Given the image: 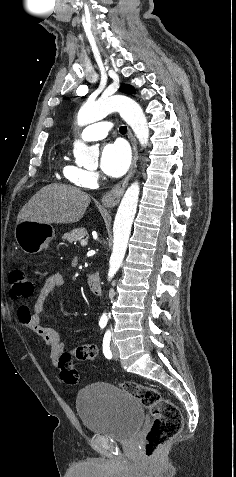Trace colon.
Returning <instances> with one entry per match:
<instances>
[{"mask_svg":"<svg viewBox=\"0 0 236 477\" xmlns=\"http://www.w3.org/2000/svg\"><path fill=\"white\" fill-rule=\"evenodd\" d=\"M9 279L11 283L10 295L13 299H28L35 294L36 284L28 277L24 268H13L9 274ZM27 308L28 306L21 305L19 310ZM73 358L81 361H94L96 356H93L90 344L79 345L72 352H65L60 356V376L68 385H76L79 382V373L71 365ZM121 387L148 408L153 416L152 425L145 438V453L149 458L154 457L158 450L181 431L183 425L182 414L174 403L162 397L160 392L153 387L132 381L123 382Z\"/></svg>","mask_w":236,"mask_h":477,"instance_id":"5ec220e1","label":"colon"}]
</instances>
